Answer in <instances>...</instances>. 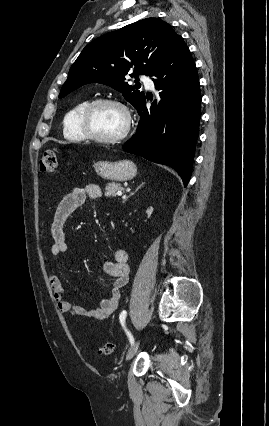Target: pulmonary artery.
Wrapping results in <instances>:
<instances>
[{
  "label": "pulmonary artery",
  "instance_id": "pulmonary-artery-1",
  "mask_svg": "<svg viewBox=\"0 0 269 426\" xmlns=\"http://www.w3.org/2000/svg\"><path fill=\"white\" fill-rule=\"evenodd\" d=\"M141 80H142L143 84L147 88H149V89H153L154 88V82H153V80L149 76L143 75L142 78H141Z\"/></svg>",
  "mask_w": 269,
  "mask_h": 426
}]
</instances>
